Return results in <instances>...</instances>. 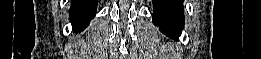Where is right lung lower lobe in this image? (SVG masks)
<instances>
[{
  "label": "right lung lower lobe",
  "instance_id": "right-lung-lower-lobe-1",
  "mask_svg": "<svg viewBox=\"0 0 261 59\" xmlns=\"http://www.w3.org/2000/svg\"><path fill=\"white\" fill-rule=\"evenodd\" d=\"M97 0H73L70 17L75 32L87 27L88 22L96 14Z\"/></svg>",
  "mask_w": 261,
  "mask_h": 59
}]
</instances>
